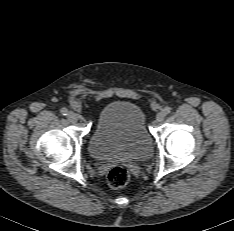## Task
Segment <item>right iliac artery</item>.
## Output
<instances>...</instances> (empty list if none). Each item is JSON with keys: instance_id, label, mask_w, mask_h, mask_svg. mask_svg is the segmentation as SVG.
<instances>
[{"instance_id": "right-iliac-artery-1", "label": "right iliac artery", "mask_w": 234, "mask_h": 231, "mask_svg": "<svg viewBox=\"0 0 234 231\" xmlns=\"http://www.w3.org/2000/svg\"><path fill=\"white\" fill-rule=\"evenodd\" d=\"M60 112H61L62 115H67L68 114V110L66 108H62L60 110Z\"/></svg>"}]
</instances>
